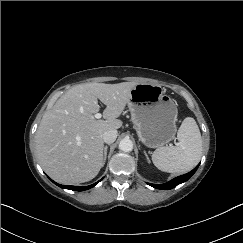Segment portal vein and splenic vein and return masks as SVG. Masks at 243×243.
<instances>
[{
    "instance_id": "18ae733b",
    "label": "portal vein and splenic vein",
    "mask_w": 243,
    "mask_h": 243,
    "mask_svg": "<svg viewBox=\"0 0 243 243\" xmlns=\"http://www.w3.org/2000/svg\"><path fill=\"white\" fill-rule=\"evenodd\" d=\"M94 117H95L96 119H100V118L102 117V114H100V113H96V114L94 115Z\"/></svg>"
}]
</instances>
